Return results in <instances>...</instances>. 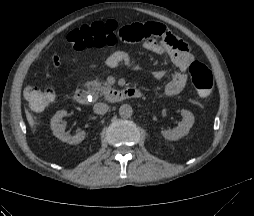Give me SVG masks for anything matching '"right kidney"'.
Wrapping results in <instances>:
<instances>
[{
  "mask_svg": "<svg viewBox=\"0 0 254 216\" xmlns=\"http://www.w3.org/2000/svg\"><path fill=\"white\" fill-rule=\"evenodd\" d=\"M67 116V111H57L51 118V130L55 137L68 144H79L86 136L85 131H80L76 135L71 136L65 133V124L61 123L63 117Z\"/></svg>",
  "mask_w": 254,
  "mask_h": 216,
  "instance_id": "obj_1",
  "label": "right kidney"
}]
</instances>
